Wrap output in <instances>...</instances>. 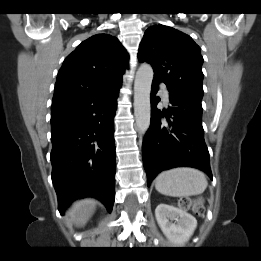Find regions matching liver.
<instances>
[{
	"label": "liver",
	"instance_id": "1",
	"mask_svg": "<svg viewBox=\"0 0 261 261\" xmlns=\"http://www.w3.org/2000/svg\"><path fill=\"white\" fill-rule=\"evenodd\" d=\"M95 209V202L91 199L78 201L71 207L68 216L73 220L74 224L82 227L92 216Z\"/></svg>",
	"mask_w": 261,
	"mask_h": 261
}]
</instances>
